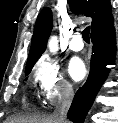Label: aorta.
Returning a JSON list of instances; mask_svg holds the SVG:
<instances>
[{
	"label": "aorta",
	"mask_w": 118,
	"mask_h": 123,
	"mask_svg": "<svg viewBox=\"0 0 118 123\" xmlns=\"http://www.w3.org/2000/svg\"><path fill=\"white\" fill-rule=\"evenodd\" d=\"M48 48L51 53H56L59 49L58 46V39L56 36H51L49 41H48Z\"/></svg>",
	"instance_id": "1"
}]
</instances>
